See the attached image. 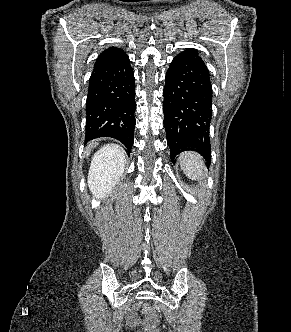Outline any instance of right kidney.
I'll list each match as a JSON object with an SVG mask.
<instances>
[{"mask_svg":"<svg viewBox=\"0 0 291 332\" xmlns=\"http://www.w3.org/2000/svg\"><path fill=\"white\" fill-rule=\"evenodd\" d=\"M125 156L117 145L108 144L93 157L88 186L96 198H105L112 193L113 187L124 172Z\"/></svg>","mask_w":291,"mask_h":332,"instance_id":"obj_1","label":"right kidney"}]
</instances>
